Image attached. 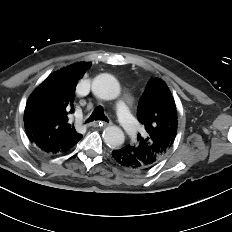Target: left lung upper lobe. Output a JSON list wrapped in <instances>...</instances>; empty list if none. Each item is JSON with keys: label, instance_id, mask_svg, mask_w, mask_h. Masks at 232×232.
Wrapping results in <instances>:
<instances>
[{"label": "left lung upper lobe", "instance_id": "left-lung-upper-lobe-1", "mask_svg": "<svg viewBox=\"0 0 232 232\" xmlns=\"http://www.w3.org/2000/svg\"><path fill=\"white\" fill-rule=\"evenodd\" d=\"M139 122L145 130L137 143L129 145L134 155L149 169L161 161L177 135V109L167 85L159 78L148 82L137 108Z\"/></svg>", "mask_w": 232, "mask_h": 232}]
</instances>
